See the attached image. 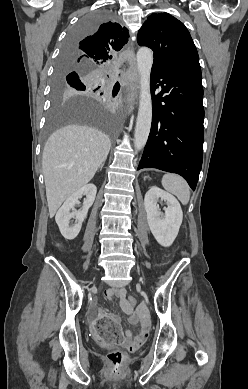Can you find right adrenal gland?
Here are the masks:
<instances>
[{"instance_id":"right-adrenal-gland-1","label":"right adrenal gland","mask_w":248,"mask_h":389,"mask_svg":"<svg viewBox=\"0 0 248 389\" xmlns=\"http://www.w3.org/2000/svg\"><path fill=\"white\" fill-rule=\"evenodd\" d=\"M103 166H104V162L100 165L99 170H102Z\"/></svg>"}]
</instances>
